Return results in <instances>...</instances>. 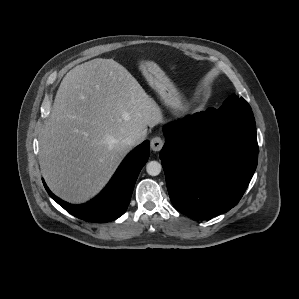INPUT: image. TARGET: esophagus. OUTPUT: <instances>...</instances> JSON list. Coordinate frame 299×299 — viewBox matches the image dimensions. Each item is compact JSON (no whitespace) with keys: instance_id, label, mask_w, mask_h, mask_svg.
Listing matches in <instances>:
<instances>
[{"instance_id":"1","label":"esophagus","mask_w":299,"mask_h":299,"mask_svg":"<svg viewBox=\"0 0 299 299\" xmlns=\"http://www.w3.org/2000/svg\"><path fill=\"white\" fill-rule=\"evenodd\" d=\"M151 149L155 152H158L164 146V140L161 137H154L151 140Z\"/></svg>"}]
</instances>
